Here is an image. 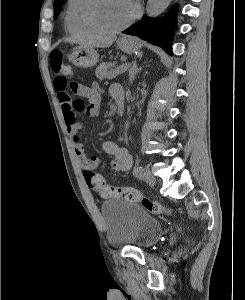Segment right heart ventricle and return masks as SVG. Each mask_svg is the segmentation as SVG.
Listing matches in <instances>:
<instances>
[{
  "label": "right heart ventricle",
  "instance_id": "e07e8e85",
  "mask_svg": "<svg viewBox=\"0 0 245 300\" xmlns=\"http://www.w3.org/2000/svg\"><path fill=\"white\" fill-rule=\"evenodd\" d=\"M86 2L87 0H68L65 15V26L72 34L95 33L89 29L83 21L82 13Z\"/></svg>",
  "mask_w": 245,
  "mask_h": 300
}]
</instances>
